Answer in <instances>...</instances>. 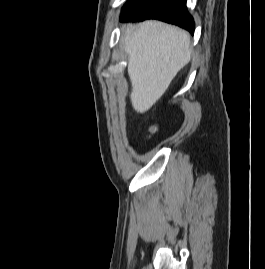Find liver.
Instances as JSON below:
<instances>
[{"label": "liver", "mask_w": 265, "mask_h": 269, "mask_svg": "<svg viewBox=\"0 0 265 269\" xmlns=\"http://www.w3.org/2000/svg\"><path fill=\"white\" fill-rule=\"evenodd\" d=\"M128 54L130 99L138 113L148 111L191 58L188 32L160 21L123 26Z\"/></svg>", "instance_id": "6515ba94"}]
</instances>
